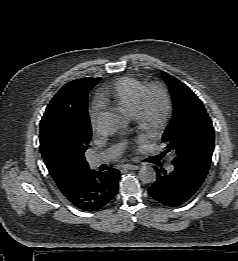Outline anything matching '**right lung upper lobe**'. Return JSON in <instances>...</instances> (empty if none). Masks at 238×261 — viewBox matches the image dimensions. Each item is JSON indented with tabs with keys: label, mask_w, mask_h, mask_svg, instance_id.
Returning <instances> with one entry per match:
<instances>
[{
	"label": "right lung upper lobe",
	"mask_w": 238,
	"mask_h": 261,
	"mask_svg": "<svg viewBox=\"0 0 238 261\" xmlns=\"http://www.w3.org/2000/svg\"><path fill=\"white\" fill-rule=\"evenodd\" d=\"M100 78H82L74 80L80 84L99 82ZM59 136L64 143L71 145L75 149L88 147L92 131L87 113L85 120L63 119L56 122ZM51 176L60 191L67 197L72 194L90 173L88 163H80L72 169L48 168Z\"/></svg>",
	"instance_id": "obj_1"
}]
</instances>
